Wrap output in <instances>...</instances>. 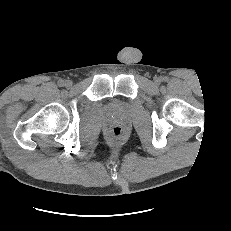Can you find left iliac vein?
<instances>
[{"mask_svg": "<svg viewBox=\"0 0 231 231\" xmlns=\"http://www.w3.org/2000/svg\"><path fill=\"white\" fill-rule=\"evenodd\" d=\"M154 82H155L156 84H159V83L161 82V79H160L159 77H155V78H154Z\"/></svg>", "mask_w": 231, "mask_h": 231, "instance_id": "left-iliac-vein-1", "label": "left iliac vein"}]
</instances>
